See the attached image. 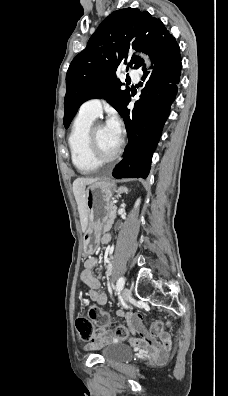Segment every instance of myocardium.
Segmentation results:
<instances>
[{
  "instance_id": "1",
  "label": "myocardium",
  "mask_w": 228,
  "mask_h": 396,
  "mask_svg": "<svg viewBox=\"0 0 228 396\" xmlns=\"http://www.w3.org/2000/svg\"><path fill=\"white\" fill-rule=\"evenodd\" d=\"M104 124L101 122H96L91 125L87 134V149L91 160L97 165L108 164L115 161L119 155L121 154L122 147H123V140L119 139V144L116 151L108 156H102L98 150L97 141H96V131L99 127L103 126Z\"/></svg>"
}]
</instances>
